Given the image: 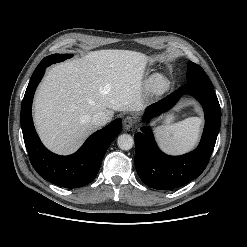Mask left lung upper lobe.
Instances as JSON below:
<instances>
[{"instance_id": "obj_1", "label": "left lung upper lobe", "mask_w": 247, "mask_h": 247, "mask_svg": "<svg viewBox=\"0 0 247 247\" xmlns=\"http://www.w3.org/2000/svg\"><path fill=\"white\" fill-rule=\"evenodd\" d=\"M187 67H188V71H187L186 79L188 81H200L203 83L211 84L207 74L199 65L190 61Z\"/></svg>"}]
</instances>
